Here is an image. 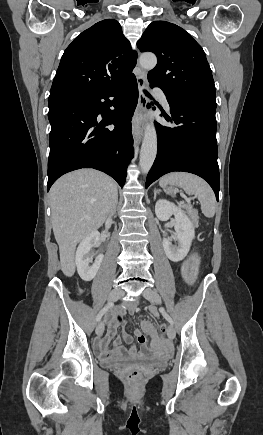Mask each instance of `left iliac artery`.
I'll return each instance as SVG.
<instances>
[{"label": "left iliac artery", "mask_w": 263, "mask_h": 435, "mask_svg": "<svg viewBox=\"0 0 263 435\" xmlns=\"http://www.w3.org/2000/svg\"><path fill=\"white\" fill-rule=\"evenodd\" d=\"M160 312L162 313L163 317L173 326L174 322L172 318L166 313V311L163 308H161Z\"/></svg>", "instance_id": "left-iliac-artery-1"}]
</instances>
